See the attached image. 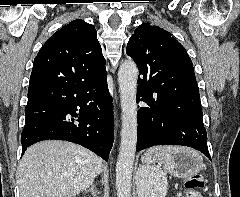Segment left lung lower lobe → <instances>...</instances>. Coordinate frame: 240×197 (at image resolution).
Masks as SVG:
<instances>
[{"mask_svg":"<svg viewBox=\"0 0 240 197\" xmlns=\"http://www.w3.org/2000/svg\"><path fill=\"white\" fill-rule=\"evenodd\" d=\"M140 74L144 77L138 79L137 102L148 106L137 113V152L156 145H182L201 151L211 160L198 86L156 89L149 75Z\"/></svg>","mask_w":240,"mask_h":197,"instance_id":"obj_1","label":"left lung lower lobe"}]
</instances>
